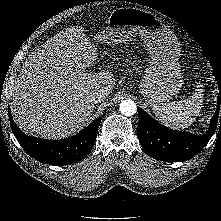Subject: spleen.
Listing matches in <instances>:
<instances>
[{"mask_svg":"<svg viewBox=\"0 0 221 221\" xmlns=\"http://www.w3.org/2000/svg\"><path fill=\"white\" fill-rule=\"evenodd\" d=\"M202 102L203 89L197 88L189 98L154 106L153 112L165 125L175 129H185L196 120V116L201 111Z\"/></svg>","mask_w":221,"mask_h":221,"instance_id":"spleen-1","label":"spleen"}]
</instances>
